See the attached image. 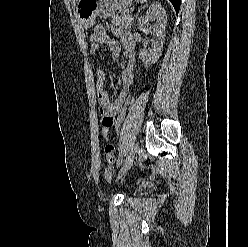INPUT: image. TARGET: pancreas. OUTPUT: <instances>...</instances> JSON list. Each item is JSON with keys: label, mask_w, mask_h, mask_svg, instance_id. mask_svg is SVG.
Segmentation results:
<instances>
[{"label": "pancreas", "mask_w": 248, "mask_h": 247, "mask_svg": "<svg viewBox=\"0 0 248 247\" xmlns=\"http://www.w3.org/2000/svg\"><path fill=\"white\" fill-rule=\"evenodd\" d=\"M132 17L129 11L117 14L113 16L112 26H118L119 28L127 29L131 27Z\"/></svg>", "instance_id": "cf45deb5"}]
</instances>
